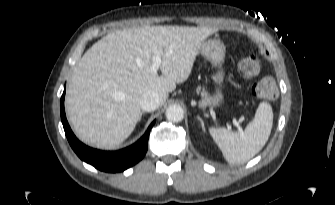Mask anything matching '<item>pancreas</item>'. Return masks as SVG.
Wrapping results in <instances>:
<instances>
[{
	"label": "pancreas",
	"instance_id": "obj_1",
	"mask_svg": "<svg viewBox=\"0 0 335 205\" xmlns=\"http://www.w3.org/2000/svg\"><path fill=\"white\" fill-rule=\"evenodd\" d=\"M197 91H201V94L203 96V99L200 103L201 107H205V106H210V105H215L216 103L214 102V100L208 95V93L205 91L204 88L198 87Z\"/></svg>",
	"mask_w": 335,
	"mask_h": 205
}]
</instances>
